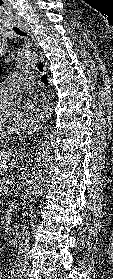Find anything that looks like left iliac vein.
<instances>
[{"instance_id":"obj_1","label":"left iliac vein","mask_w":113,"mask_h":279,"mask_svg":"<svg viewBox=\"0 0 113 279\" xmlns=\"http://www.w3.org/2000/svg\"><path fill=\"white\" fill-rule=\"evenodd\" d=\"M21 279H33L32 277H25V278H22Z\"/></svg>"}]
</instances>
